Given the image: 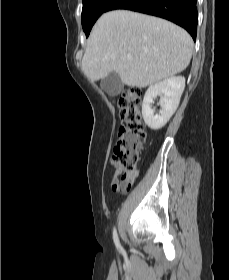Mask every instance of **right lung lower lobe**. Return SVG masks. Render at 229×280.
<instances>
[{"label":"right lung lower lobe","instance_id":"obj_1","mask_svg":"<svg viewBox=\"0 0 229 280\" xmlns=\"http://www.w3.org/2000/svg\"><path fill=\"white\" fill-rule=\"evenodd\" d=\"M197 0H114L107 11L127 9L158 16L186 29L196 40Z\"/></svg>","mask_w":229,"mask_h":280}]
</instances>
